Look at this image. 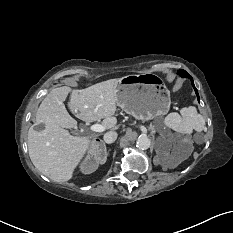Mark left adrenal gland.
<instances>
[{"mask_svg":"<svg viewBox=\"0 0 233 233\" xmlns=\"http://www.w3.org/2000/svg\"><path fill=\"white\" fill-rule=\"evenodd\" d=\"M150 129H151V134L154 135V128L151 127Z\"/></svg>","mask_w":233,"mask_h":233,"instance_id":"obj_1","label":"left adrenal gland"}]
</instances>
